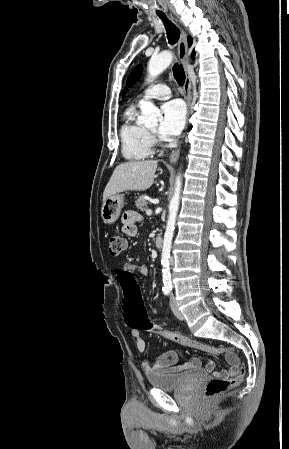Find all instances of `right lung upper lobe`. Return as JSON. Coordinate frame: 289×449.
Instances as JSON below:
<instances>
[{
  "label": "right lung upper lobe",
  "mask_w": 289,
  "mask_h": 449,
  "mask_svg": "<svg viewBox=\"0 0 289 449\" xmlns=\"http://www.w3.org/2000/svg\"><path fill=\"white\" fill-rule=\"evenodd\" d=\"M188 44H189V46H191V44H192V38L190 36L188 37ZM193 57H194V52H193Z\"/></svg>",
  "instance_id": "right-lung-upper-lobe-1"
}]
</instances>
